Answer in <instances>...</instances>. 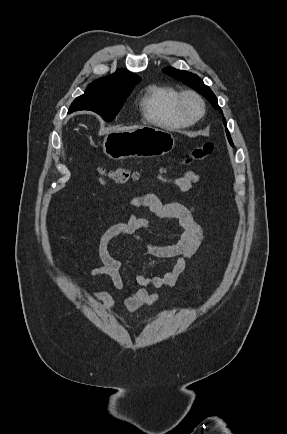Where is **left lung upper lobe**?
<instances>
[{"label": "left lung upper lobe", "instance_id": "obj_1", "mask_svg": "<svg viewBox=\"0 0 287 434\" xmlns=\"http://www.w3.org/2000/svg\"><path fill=\"white\" fill-rule=\"evenodd\" d=\"M162 71L171 77H174V78H177V79L183 81L188 86L197 90L199 93H201L203 96H205L207 100H209L211 102V104L214 108L218 109L222 113L220 107L218 106L216 96L213 94V92L210 90V88L208 86H206L197 75L186 72L184 70H178V69H175L172 67L164 68ZM223 120H224V125L226 127L225 119H223ZM226 133H227V137H228L230 144L233 145L229 131L227 130Z\"/></svg>", "mask_w": 287, "mask_h": 434}]
</instances>
